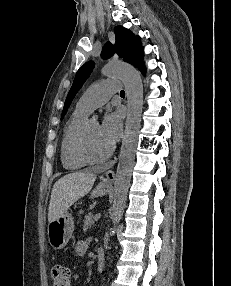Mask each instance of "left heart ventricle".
Returning a JSON list of instances; mask_svg holds the SVG:
<instances>
[{
    "label": "left heart ventricle",
    "instance_id": "1",
    "mask_svg": "<svg viewBox=\"0 0 231 286\" xmlns=\"http://www.w3.org/2000/svg\"><path fill=\"white\" fill-rule=\"evenodd\" d=\"M87 149L94 157H101L107 153L111 147L103 138L98 122L89 121L87 131Z\"/></svg>",
    "mask_w": 231,
    "mask_h": 286
}]
</instances>
